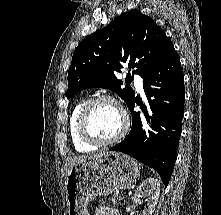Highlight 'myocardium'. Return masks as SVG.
<instances>
[{
    "label": "myocardium",
    "mask_w": 221,
    "mask_h": 215,
    "mask_svg": "<svg viewBox=\"0 0 221 215\" xmlns=\"http://www.w3.org/2000/svg\"><path fill=\"white\" fill-rule=\"evenodd\" d=\"M101 102H110L114 104L122 116V127L120 131L114 137L109 139H102L97 137L90 131L89 128L91 111L98 103ZM77 129L80 138L86 143L93 146H108L117 143L125 137L129 129V118L125 110L121 107L115 98L109 95H99L87 100L82 106L77 119Z\"/></svg>",
    "instance_id": "1"
}]
</instances>
